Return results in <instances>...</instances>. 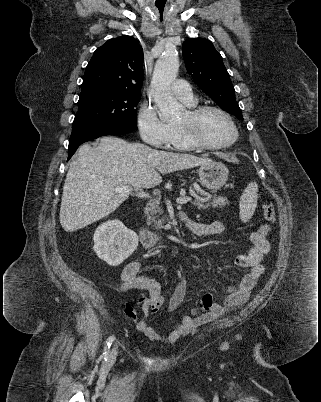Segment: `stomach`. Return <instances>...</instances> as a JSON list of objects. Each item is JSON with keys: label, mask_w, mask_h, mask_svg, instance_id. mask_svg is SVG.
I'll use <instances>...</instances> for the list:
<instances>
[{"label": "stomach", "mask_w": 321, "mask_h": 402, "mask_svg": "<svg viewBox=\"0 0 321 402\" xmlns=\"http://www.w3.org/2000/svg\"><path fill=\"white\" fill-rule=\"evenodd\" d=\"M201 184L210 190L220 189L228 179V169L220 162L206 163L200 165L197 170Z\"/></svg>", "instance_id": "0dacf381"}]
</instances>
